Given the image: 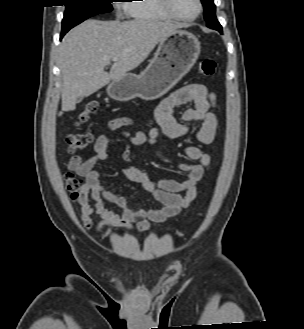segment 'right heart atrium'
<instances>
[{"label": "right heart atrium", "mask_w": 304, "mask_h": 329, "mask_svg": "<svg viewBox=\"0 0 304 329\" xmlns=\"http://www.w3.org/2000/svg\"><path fill=\"white\" fill-rule=\"evenodd\" d=\"M116 7H117V12H118L119 15L123 14L126 11V5L125 4L117 3Z\"/></svg>", "instance_id": "obj_1"}]
</instances>
